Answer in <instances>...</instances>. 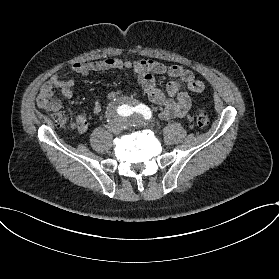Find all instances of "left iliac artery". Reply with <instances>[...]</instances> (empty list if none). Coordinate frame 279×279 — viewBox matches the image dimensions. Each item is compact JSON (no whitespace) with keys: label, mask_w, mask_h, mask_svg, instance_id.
<instances>
[{"label":"left iliac artery","mask_w":279,"mask_h":279,"mask_svg":"<svg viewBox=\"0 0 279 279\" xmlns=\"http://www.w3.org/2000/svg\"><path fill=\"white\" fill-rule=\"evenodd\" d=\"M142 114L144 115L145 119H150L151 116H152V113H151L150 109L145 105H143V113Z\"/></svg>","instance_id":"44dca946"}]
</instances>
